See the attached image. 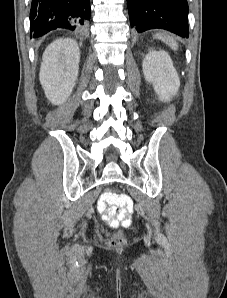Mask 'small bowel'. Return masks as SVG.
Here are the masks:
<instances>
[{
	"label": "small bowel",
	"mask_w": 227,
	"mask_h": 298,
	"mask_svg": "<svg viewBox=\"0 0 227 298\" xmlns=\"http://www.w3.org/2000/svg\"><path fill=\"white\" fill-rule=\"evenodd\" d=\"M98 209H99L100 212H102L101 207L98 206ZM105 217H106V215H105ZM118 222H122L123 224H128L129 223V220L127 219V217H123V211L122 210L119 211V213H118V218L116 220V224Z\"/></svg>",
	"instance_id": "c3829d8e"
}]
</instances>
